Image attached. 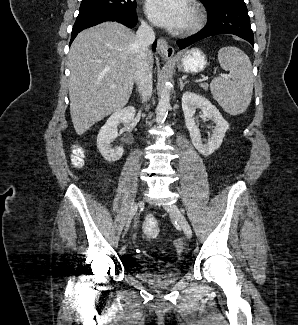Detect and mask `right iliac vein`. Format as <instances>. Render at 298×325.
Here are the masks:
<instances>
[{
  "mask_svg": "<svg viewBox=\"0 0 298 325\" xmlns=\"http://www.w3.org/2000/svg\"><path fill=\"white\" fill-rule=\"evenodd\" d=\"M137 203L136 202H134L133 204H132V206H131V209H130V212H129V217H128V219H127V221H126V227H125V230H127L128 229V227H129V225H130V222H131V219H132V217L135 215V213H136V211H137Z\"/></svg>",
  "mask_w": 298,
  "mask_h": 325,
  "instance_id": "1",
  "label": "right iliac vein"
}]
</instances>
